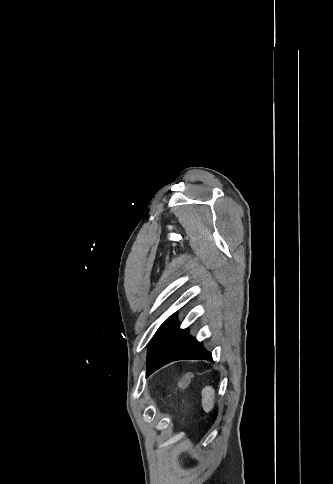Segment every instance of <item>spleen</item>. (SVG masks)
Returning <instances> with one entry per match:
<instances>
[{
    "mask_svg": "<svg viewBox=\"0 0 333 484\" xmlns=\"http://www.w3.org/2000/svg\"><path fill=\"white\" fill-rule=\"evenodd\" d=\"M215 393L211 386H207L202 391V405L206 412H210L213 409Z\"/></svg>",
    "mask_w": 333,
    "mask_h": 484,
    "instance_id": "3e777b00",
    "label": "spleen"
}]
</instances>
